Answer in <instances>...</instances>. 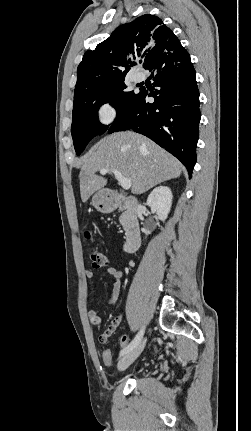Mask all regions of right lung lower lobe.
Returning <instances> with one entry per match:
<instances>
[{
  "instance_id": "98d812e1",
  "label": "right lung lower lobe",
  "mask_w": 251,
  "mask_h": 431,
  "mask_svg": "<svg viewBox=\"0 0 251 431\" xmlns=\"http://www.w3.org/2000/svg\"><path fill=\"white\" fill-rule=\"evenodd\" d=\"M155 72L154 92H140L117 116L108 133L132 129L143 134L178 158L191 178L196 163L200 122L199 92L195 70L187 51L178 46L147 67ZM154 102H147L148 97Z\"/></svg>"
}]
</instances>
